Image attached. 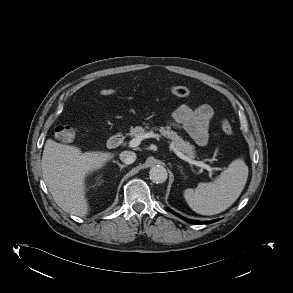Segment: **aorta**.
<instances>
[{"label":"aorta","mask_w":293,"mask_h":293,"mask_svg":"<svg viewBox=\"0 0 293 293\" xmlns=\"http://www.w3.org/2000/svg\"><path fill=\"white\" fill-rule=\"evenodd\" d=\"M149 175H150V179L154 183H157V184L164 183L168 177L167 170L163 166H160V165L153 166L150 169Z\"/></svg>","instance_id":"obj_1"}]
</instances>
